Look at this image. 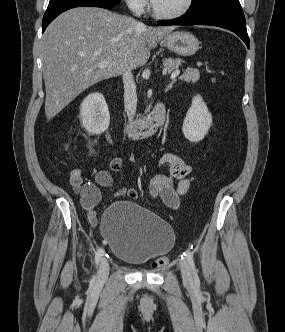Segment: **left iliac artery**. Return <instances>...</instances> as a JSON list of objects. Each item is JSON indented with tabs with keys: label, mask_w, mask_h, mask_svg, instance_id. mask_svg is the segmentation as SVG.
I'll list each match as a JSON object with an SVG mask.
<instances>
[{
	"label": "left iliac artery",
	"mask_w": 285,
	"mask_h": 332,
	"mask_svg": "<svg viewBox=\"0 0 285 332\" xmlns=\"http://www.w3.org/2000/svg\"><path fill=\"white\" fill-rule=\"evenodd\" d=\"M184 255L186 256L187 261L191 267L195 283H199V277H198L197 269H196L195 263H194L193 252L190 250H186V253H184Z\"/></svg>",
	"instance_id": "left-iliac-artery-1"
}]
</instances>
